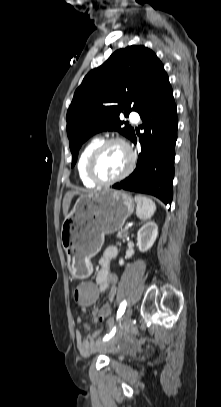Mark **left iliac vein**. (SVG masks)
I'll return each mask as SVG.
<instances>
[{
  "mask_svg": "<svg viewBox=\"0 0 221 407\" xmlns=\"http://www.w3.org/2000/svg\"><path fill=\"white\" fill-rule=\"evenodd\" d=\"M132 312L133 311L131 308H128L126 310V312L124 313V315L121 318V324H120L121 327H125L129 323L131 316H132ZM110 343H111V341L108 342V344H110Z\"/></svg>",
  "mask_w": 221,
  "mask_h": 407,
  "instance_id": "obj_1",
  "label": "left iliac vein"
}]
</instances>
